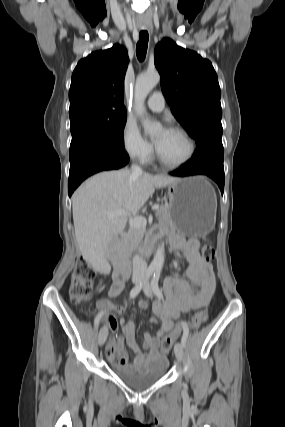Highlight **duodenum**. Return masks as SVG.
<instances>
[{
    "label": "duodenum",
    "mask_w": 285,
    "mask_h": 427,
    "mask_svg": "<svg viewBox=\"0 0 285 427\" xmlns=\"http://www.w3.org/2000/svg\"><path fill=\"white\" fill-rule=\"evenodd\" d=\"M158 240L159 236L156 233H148L145 236L144 242L140 248L141 254L148 255L151 252L153 246L158 242ZM114 262V277L118 280L125 281L128 278L131 269L130 260L121 253L120 249H118L114 256Z\"/></svg>",
    "instance_id": "duodenum-1"
}]
</instances>
